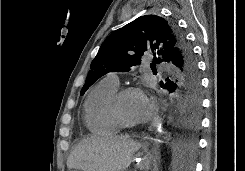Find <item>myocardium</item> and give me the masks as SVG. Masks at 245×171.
<instances>
[{"label": "myocardium", "instance_id": "f54148a6", "mask_svg": "<svg viewBox=\"0 0 245 171\" xmlns=\"http://www.w3.org/2000/svg\"><path fill=\"white\" fill-rule=\"evenodd\" d=\"M129 94H140L143 95V91L138 88V87H134V86H128V87H124L119 89L114 96L112 97L111 100V112L112 115L114 117V119L116 120V122L118 123V125L121 128H127V129H132V128H136L139 126V123H134V122H130L127 121L121 114L120 111V102L121 100Z\"/></svg>", "mask_w": 245, "mask_h": 171}]
</instances>
